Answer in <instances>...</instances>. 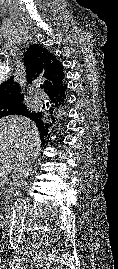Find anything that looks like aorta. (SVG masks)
<instances>
[{
	"label": "aorta",
	"instance_id": "aorta-1",
	"mask_svg": "<svg viewBox=\"0 0 118 269\" xmlns=\"http://www.w3.org/2000/svg\"><path fill=\"white\" fill-rule=\"evenodd\" d=\"M26 211V201L17 198L14 203L12 223L9 233L10 246L12 249H17L21 242Z\"/></svg>",
	"mask_w": 118,
	"mask_h": 269
}]
</instances>
